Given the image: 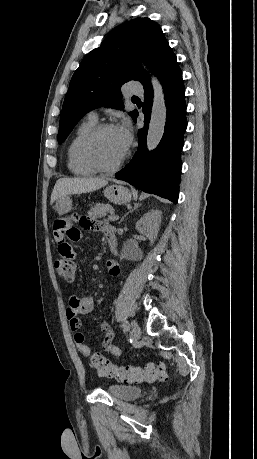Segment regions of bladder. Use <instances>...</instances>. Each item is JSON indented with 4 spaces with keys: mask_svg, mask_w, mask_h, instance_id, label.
Here are the masks:
<instances>
[{
    "mask_svg": "<svg viewBox=\"0 0 257 459\" xmlns=\"http://www.w3.org/2000/svg\"><path fill=\"white\" fill-rule=\"evenodd\" d=\"M108 393L121 400H133L140 397L143 389L134 385H111L108 388Z\"/></svg>",
    "mask_w": 257,
    "mask_h": 459,
    "instance_id": "31cf9c89",
    "label": "bladder"
}]
</instances>
